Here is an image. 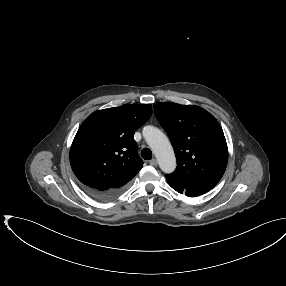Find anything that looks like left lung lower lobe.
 <instances>
[{
    "label": "left lung lower lobe",
    "instance_id": "left-lung-lower-lobe-1",
    "mask_svg": "<svg viewBox=\"0 0 286 286\" xmlns=\"http://www.w3.org/2000/svg\"><path fill=\"white\" fill-rule=\"evenodd\" d=\"M167 179V178H166ZM167 182L169 183V185L176 190L179 193H185L186 196L189 197H195V196H199L202 195L204 193H206L207 191L201 190V189H197V188H189V187H185L179 183L173 182L169 179H167Z\"/></svg>",
    "mask_w": 286,
    "mask_h": 286
}]
</instances>
